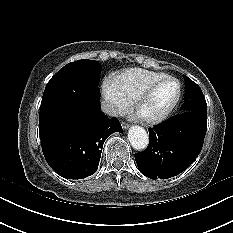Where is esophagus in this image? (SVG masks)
<instances>
[{"label":"esophagus","instance_id":"obj_1","mask_svg":"<svg viewBox=\"0 0 233 233\" xmlns=\"http://www.w3.org/2000/svg\"><path fill=\"white\" fill-rule=\"evenodd\" d=\"M122 128L124 130H127L129 128V125L126 122H122Z\"/></svg>","mask_w":233,"mask_h":233}]
</instances>
